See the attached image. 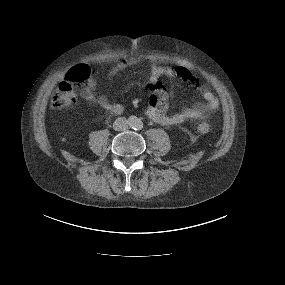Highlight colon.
I'll list each match as a JSON object with an SVG mask.
<instances>
[{
    "label": "colon",
    "instance_id": "obj_1",
    "mask_svg": "<svg viewBox=\"0 0 285 285\" xmlns=\"http://www.w3.org/2000/svg\"><path fill=\"white\" fill-rule=\"evenodd\" d=\"M176 71L178 75H187L182 68H177ZM89 77L90 67L85 64L77 65L71 69L65 80L60 83L53 93L51 107L60 110L75 105L78 101L77 88L85 84L89 80ZM209 127L208 123L200 122L196 126V132L204 134L208 132Z\"/></svg>",
    "mask_w": 285,
    "mask_h": 285
}]
</instances>
